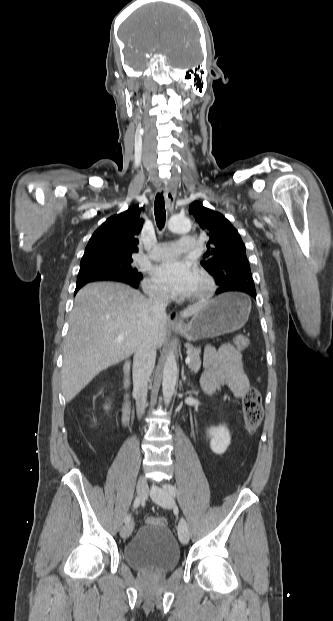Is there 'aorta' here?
I'll use <instances>...</instances> for the list:
<instances>
[{
	"instance_id": "762f6f07",
	"label": "aorta",
	"mask_w": 333,
	"mask_h": 621,
	"mask_svg": "<svg viewBox=\"0 0 333 621\" xmlns=\"http://www.w3.org/2000/svg\"><path fill=\"white\" fill-rule=\"evenodd\" d=\"M168 229L174 233H188L191 229V222L186 217L173 215L168 221ZM177 375L178 370L176 358L174 353L170 352L165 360L162 379V391L166 406L170 404L172 396L175 392Z\"/></svg>"
}]
</instances>
